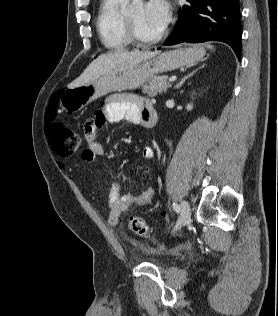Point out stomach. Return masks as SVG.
Here are the masks:
<instances>
[{
    "label": "stomach",
    "instance_id": "obj_1",
    "mask_svg": "<svg viewBox=\"0 0 278 316\" xmlns=\"http://www.w3.org/2000/svg\"><path fill=\"white\" fill-rule=\"evenodd\" d=\"M204 55L205 49L200 46L164 52L156 58L102 76L85 85L64 90L60 95V106L66 112L76 113L101 96L136 89L152 76L192 65Z\"/></svg>",
    "mask_w": 278,
    "mask_h": 316
}]
</instances>
